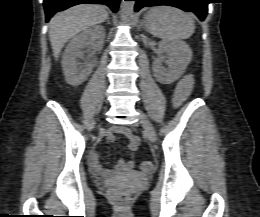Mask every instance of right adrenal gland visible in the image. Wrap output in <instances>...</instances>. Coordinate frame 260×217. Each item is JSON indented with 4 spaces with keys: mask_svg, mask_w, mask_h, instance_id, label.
I'll use <instances>...</instances> for the list:
<instances>
[{
    "mask_svg": "<svg viewBox=\"0 0 260 217\" xmlns=\"http://www.w3.org/2000/svg\"><path fill=\"white\" fill-rule=\"evenodd\" d=\"M106 22H107V24H110V21H109V17H108V16H107Z\"/></svg>",
    "mask_w": 260,
    "mask_h": 217,
    "instance_id": "1",
    "label": "right adrenal gland"
}]
</instances>
